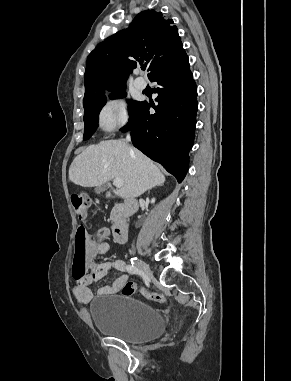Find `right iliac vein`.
<instances>
[{"instance_id":"63e3f726","label":"right iliac vein","mask_w":291,"mask_h":381,"mask_svg":"<svg viewBox=\"0 0 291 381\" xmlns=\"http://www.w3.org/2000/svg\"><path fill=\"white\" fill-rule=\"evenodd\" d=\"M134 265L140 269L146 276L149 278H153L152 272L149 268V266L142 260L140 259H134L133 261Z\"/></svg>"}]
</instances>
